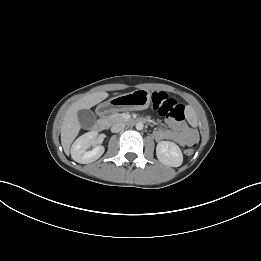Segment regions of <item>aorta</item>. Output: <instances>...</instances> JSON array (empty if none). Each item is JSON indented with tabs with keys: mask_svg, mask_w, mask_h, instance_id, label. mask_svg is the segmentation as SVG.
Listing matches in <instances>:
<instances>
[{
	"mask_svg": "<svg viewBox=\"0 0 261 261\" xmlns=\"http://www.w3.org/2000/svg\"><path fill=\"white\" fill-rule=\"evenodd\" d=\"M143 123L142 122H138L137 124H136V129L137 130H142L143 129Z\"/></svg>",
	"mask_w": 261,
	"mask_h": 261,
	"instance_id": "obj_1",
	"label": "aorta"
}]
</instances>
